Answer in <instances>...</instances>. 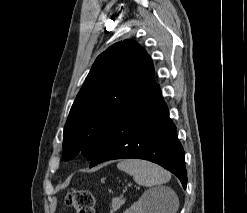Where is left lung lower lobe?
Instances as JSON below:
<instances>
[{
  "label": "left lung lower lobe",
  "mask_w": 247,
  "mask_h": 213,
  "mask_svg": "<svg viewBox=\"0 0 247 213\" xmlns=\"http://www.w3.org/2000/svg\"><path fill=\"white\" fill-rule=\"evenodd\" d=\"M137 158L161 165L187 183L184 150L168 108L154 80L148 74L136 99L126 108L105 136L91 159L90 167L112 159Z\"/></svg>",
  "instance_id": "1"
}]
</instances>
